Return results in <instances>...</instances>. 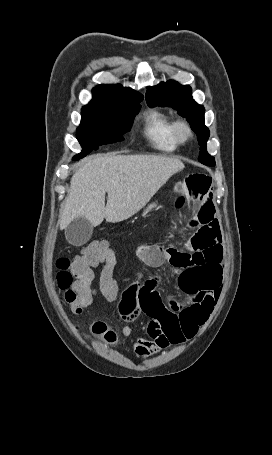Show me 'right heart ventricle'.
I'll use <instances>...</instances> for the list:
<instances>
[{
  "label": "right heart ventricle",
  "instance_id": "1",
  "mask_svg": "<svg viewBox=\"0 0 272 455\" xmlns=\"http://www.w3.org/2000/svg\"><path fill=\"white\" fill-rule=\"evenodd\" d=\"M174 122L167 113L149 109L142 117V135L155 150L163 153L174 152L178 148L173 135Z\"/></svg>",
  "mask_w": 272,
  "mask_h": 455
}]
</instances>
